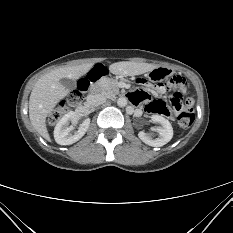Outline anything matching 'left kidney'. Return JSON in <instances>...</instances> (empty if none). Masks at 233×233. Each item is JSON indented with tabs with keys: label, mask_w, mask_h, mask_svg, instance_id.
Returning a JSON list of instances; mask_svg holds the SVG:
<instances>
[{
	"label": "left kidney",
	"mask_w": 233,
	"mask_h": 233,
	"mask_svg": "<svg viewBox=\"0 0 233 233\" xmlns=\"http://www.w3.org/2000/svg\"><path fill=\"white\" fill-rule=\"evenodd\" d=\"M151 120L155 123H159L157 128L158 138L153 139L150 135L144 131L138 133L139 138L147 145L152 147H161L167 144L173 137V128L170 122L160 115H152Z\"/></svg>",
	"instance_id": "left-kidney-1"
}]
</instances>
